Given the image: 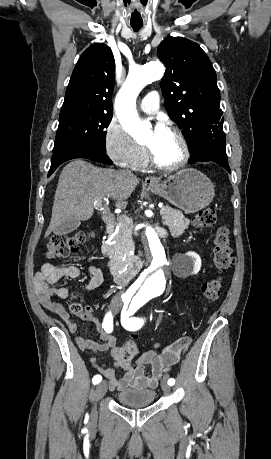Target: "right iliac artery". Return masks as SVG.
Here are the masks:
<instances>
[{
  "mask_svg": "<svg viewBox=\"0 0 271 459\" xmlns=\"http://www.w3.org/2000/svg\"><path fill=\"white\" fill-rule=\"evenodd\" d=\"M129 301H126V304L128 305ZM102 327L107 333H111L113 331V317L111 312L107 313L104 317ZM102 377L101 375H95L92 379V382L94 385L98 384L101 382Z\"/></svg>",
  "mask_w": 271,
  "mask_h": 459,
  "instance_id": "right-iliac-artery-1",
  "label": "right iliac artery"
}]
</instances>
